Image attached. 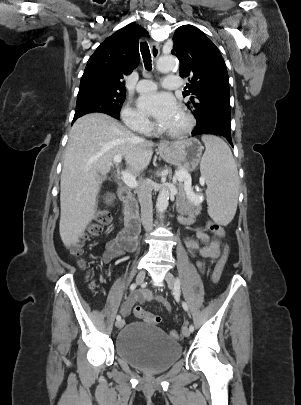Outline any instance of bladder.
<instances>
[{
    "instance_id": "bladder-1",
    "label": "bladder",
    "mask_w": 301,
    "mask_h": 405,
    "mask_svg": "<svg viewBox=\"0 0 301 405\" xmlns=\"http://www.w3.org/2000/svg\"><path fill=\"white\" fill-rule=\"evenodd\" d=\"M181 345L163 330L143 322H131L115 339L117 355L140 370L158 373L171 367L181 355Z\"/></svg>"
}]
</instances>
